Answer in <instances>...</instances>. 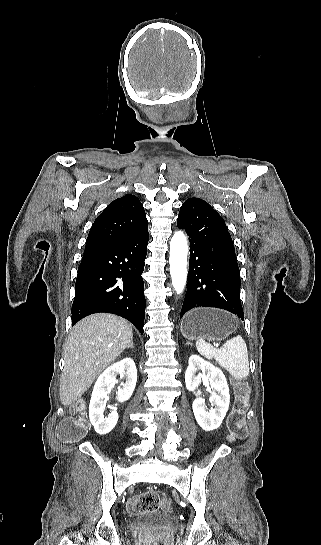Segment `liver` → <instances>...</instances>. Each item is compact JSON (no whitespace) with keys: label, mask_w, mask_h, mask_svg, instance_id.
<instances>
[{"label":"liver","mask_w":321,"mask_h":545,"mask_svg":"<svg viewBox=\"0 0 321 545\" xmlns=\"http://www.w3.org/2000/svg\"><path fill=\"white\" fill-rule=\"evenodd\" d=\"M132 329L121 317L97 313L73 327L64 349L60 379L62 405H73L132 341Z\"/></svg>","instance_id":"6515ba94"}]
</instances>
